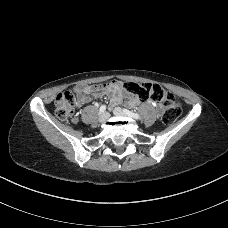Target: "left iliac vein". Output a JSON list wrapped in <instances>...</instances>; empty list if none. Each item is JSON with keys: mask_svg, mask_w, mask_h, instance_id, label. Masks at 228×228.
Listing matches in <instances>:
<instances>
[{"mask_svg": "<svg viewBox=\"0 0 228 228\" xmlns=\"http://www.w3.org/2000/svg\"><path fill=\"white\" fill-rule=\"evenodd\" d=\"M113 113L116 116H126L127 115L125 113V111L123 109L119 108V107L114 108Z\"/></svg>", "mask_w": 228, "mask_h": 228, "instance_id": "obj_1", "label": "left iliac vein"}]
</instances>
